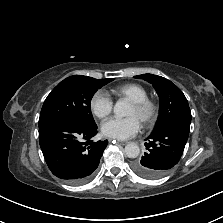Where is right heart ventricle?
Returning <instances> with one entry per match:
<instances>
[{"label": "right heart ventricle", "instance_id": "1", "mask_svg": "<svg viewBox=\"0 0 223 223\" xmlns=\"http://www.w3.org/2000/svg\"><path fill=\"white\" fill-rule=\"evenodd\" d=\"M111 93L120 98H126L131 102L140 101L148 97L147 90L138 83H124L113 87Z\"/></svg>", "mask_w": 223, "mask_h": 223}]
</instances>
